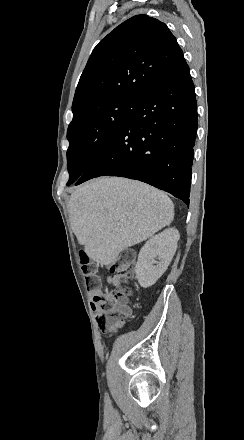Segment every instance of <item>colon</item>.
<instances>
[{
	"label": "colon",
	"mask_w": 244,
	"mask_h": 440,
	"mask_svg": "<svg viewBox=\"0 0 244 440\" xmlns=\"http://www.w3.org/2000/svg\"><path fill=\"white\" fill-rule=\"evenodd\" d=\"M86 253L84 250L81 252ZM120 260L113 263L111 271L116 274H122L123 280H127V276L131 275L136 270V263L134 258V248H121L119 251ZM83 261L85 256H82ZM81 271L85 274L87 282L86 293L94 294L98 288L100 278L96 275L98 271V262H81ZM129 292L126 289L108 290L106 289L102 294L95 296V303L92 306V311L95 313L97 319L101 321V329H110L123 322L128 318V314L132 313V306L125 305Z\"/></svg>",
	"instance_id": "1"
}]
</instances>
